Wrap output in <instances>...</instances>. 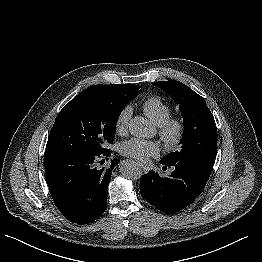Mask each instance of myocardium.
I'll return each mask as SVG.
<instances>
[{
  "label": "myocardium",
  "instance_id": "f54148a6",
  "mask_svg": "<svg viewBox=\"0 0 262 262\" xmlns=\"http://www.w3.org/2000/svg\"><path fill=\"white\" fill-rule=\"evenodd\" d=\"M158 133L167 149H176L184 137L185 123L181 117L170 116L159 126Z\"/></svg>",
  "mask_w": 262,
  "mask_h": 262
}]
</instances>
